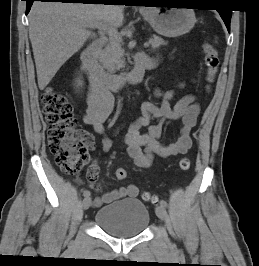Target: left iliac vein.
<instances>
[{
    "label": "left iliac vein",
    "mask_w": 259,
    "mask_h": 266,
    "mask_svg": "<svg viewBox=\"0 0 259 266\" xmlns=\"http://www.w3.org/2000/svg\"><path fill=\"white\" fill-rule=\"evenodd\" d=\"M156 215L163 221L167 220V211L165 207L159 205L155 208Z\"/></svg>",
    "instance_id": "4c4485c4"
}]
</instances>
